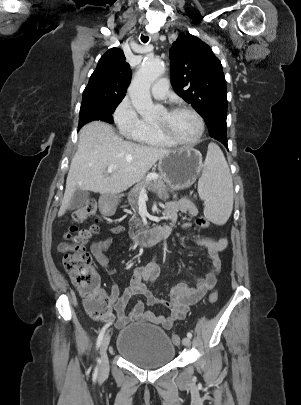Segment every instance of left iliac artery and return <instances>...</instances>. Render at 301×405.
Masks as SVG:
<instances>
[{"label":"left iliac artery","instance_id":"obj_1","mask_svg":"<svg viewBox=\"0 0 301 405\" xmlns=\"http://www.w3.org/2000/svg\"><path fill=\"white\" fill-rule=\"evenodd\" d=\"M187 337L192 338V333H191V332H188V333H187Z\"/></svg>","mask_w":301,"mask_h":405}]
</instances>
